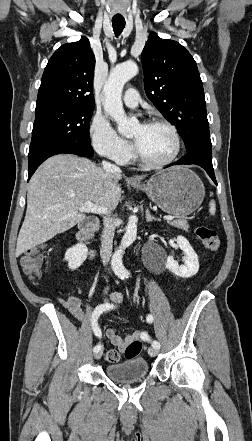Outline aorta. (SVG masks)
<instances>
[{
	"label": "aorta",
	"instance_id": "762f6f07",
	"mask_svg": "<svg viewBox=\"0 0 252 441\" xmlns=\"http://www.w3.org/2000/svg\"><path fill=\"white\" fill-rule=\"evenodd\" d=\"M138 73V66L135 62L128 61L117 65L110 71L109 78L104 85L103 92L105 95L104 110L110 115L118 125V132L124 136L131 134L132 129L137 125L135 118L129 119L123 109L122 91L125 83ZM136 216H130L126 227V232L121 240L119 248L112 256L111 265L116 275L124 277L128 274L123 265L124 250L129 247L137 235Z\"/></svg>",
	"mask_w": 252,
	"mask_h": 441
}]
</instances>
